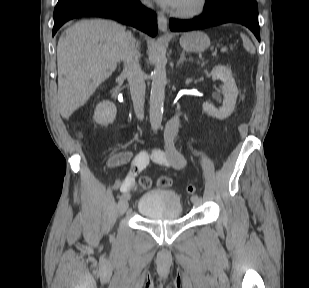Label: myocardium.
<instances>
[{
    "mask_svg": "<svg viewBox=\"0 0 309 288\" xmlns=\"http://www.w3.org/2000/svg\"><path fill=\"white\" fill-rule=\"evenodd\" d=\"M208 0H196L191 8L174 9L173 14L182 18H193L201 15L207 8Z\"/></svg>",
    "mask_w": 309,
    "mask_h": 288,
    "instance_id": "f54148a6",
    "label": "myocardium"
}]
</instances>
